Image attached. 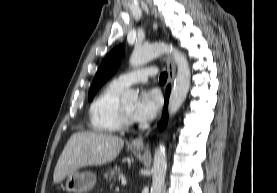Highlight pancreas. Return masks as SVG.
<instances>
[{
	"mask_svg": "<svg viewBox=\"0 0 277 193\" xmlns=\"http://www.w3.org/2000/svg\"><path fill=\"white\" fill-rule=\"evenodd\" d=\"M122 176H123V173L119 167H114L112 169H108L104 173L105 178H108L109 180H114V181L116 178H120Z\"/></svg>",
	"mask_w": 277,
	"mask_h": 193,
	"instance_id": "obj_1",
	"label": "pancreas"
}]
</instances>
